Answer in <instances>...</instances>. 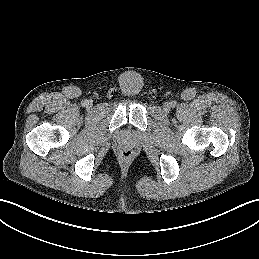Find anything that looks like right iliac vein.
<instances>
[{"instance_id":"obj_1","label":"right iliac vein","mask_w":259,"mask_h":259,"mask_svg":"<svg viewBox=\"0 0 259 259\" xmlns=\"http://www.w3.org/2000/svg\"><path fill=\"white\" fill-rule=\"evenodd\" d=\"M90 105H91V103H90V102H88V103H87V106H90Z\"/></svg>"}]
</instances>
